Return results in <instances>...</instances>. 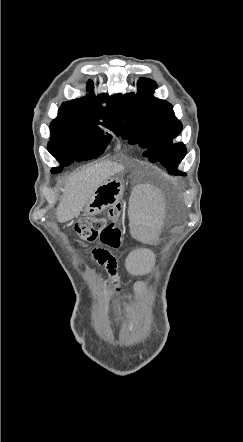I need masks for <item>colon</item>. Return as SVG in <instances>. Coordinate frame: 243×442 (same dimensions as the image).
Instances as JSON below:
<instances>
[{
	"instance_id": "colon-1",
	"label": "colon",
	"mask_w": 243,
	"mask_h": 442,
	"mask_svg": "<svg viewBox=\"0 0 243 442\" xmlns=\"http://www.w3.org/2000/svg\"><path fill=\"white\" fill-rule=\"evenodd\" d=\"M121 218L122 205L118 203L108 209L102 216H88L78 220L74 229L83 241L100 242L108 248L118 249L121 247L123 240ZM85 250L94 252V258L97 260L107 262L113 258V255L107 249L97 248L95 243H87Z\"/></svg>"
}]
</instances>
